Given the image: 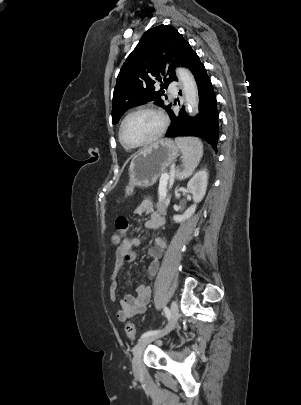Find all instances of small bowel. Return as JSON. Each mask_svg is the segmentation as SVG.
I'll use <instances>...</instances> for the list:
<instances>
[{
	"label": "small bowel",
	"mask_w": 301,
	"mask_h": 405,
	"mask_svg": "<svg viewBox=\"0 0 301 405\" xmlns=\"http://www.w3.org/2000/svg\"><path fill=\"white\" fill-rule=\"evenodd\" d=\"M135 215H147L145 227L150 231L159 230L165 223V217L162 210H156L149 199L143 200L135 209ZM122 242L115 251V261L110 273V299L115 302L119 300L117 309V318L125 321L131 317L145 312L151 298V288L148 285L140 284L136 287V294H125L121 298L118 296L117 276L125 263H131L137 260V248L141 245V240L137 237H122ZM166 241L162 237H155L154 244L148 249L150 262L147 268V274L150 278L154 277L160 266V259L163 250L166 248Z\"/></svg>",
	"instance_id": "c3829d8e"
}]
</instances>
